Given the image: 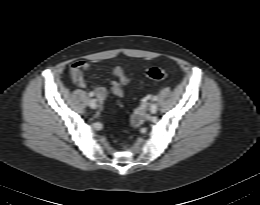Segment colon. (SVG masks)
Returning a JSON list of instances; mask_svg holds the SVG:
<instances>
[{
    "label": "colon",
    "instance_id": "1",
    "mask_svg": "<svg viewBox=\"0 0 260 205\" xmlns=\"http://www.w3.org/2000/svg\"><path fill=\"white\" fill-rule=\"evenodd\" d=\"M144 75L153 80H165L168 77V70L162 65L154 66L145 69Z\"/></svg>",
    "mask_w": 260,
    "mask_h": 205
}]
</instances>
